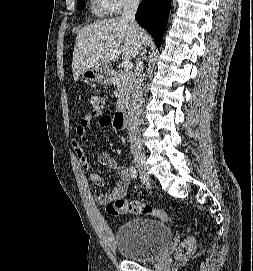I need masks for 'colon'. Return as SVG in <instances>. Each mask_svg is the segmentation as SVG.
I'll use <instances>...</instances> for the list:
<instances>
[{
  "instance_id": "1",
  "label": "colon",
  "mask_w": 253,
  "mask_h": 271,
  "mask_svg": "<svg viewBox=\"0 0 253 271\" xmlns=\"http://www.w3.org/2000/svg\"><path fill=\"white\" fill-rule=\"evenodd\" d=\"M91 104L94 112L99 113L103 111L107 106V99L100 94H93L91 96ZM106 208L108 210H115L120 213L129 212L133 214L149 215L159 218L163 221L170 222L172 220L170 214L160 208H157L149 203H143L139 201H127L124 199H118L114 203H109ZM196 243V233L193 232L186 236L184 242L179 249V256H187Z\"/></svg>"
}]
</instances>
